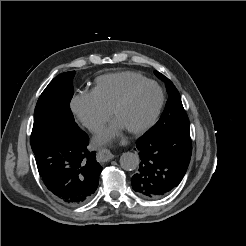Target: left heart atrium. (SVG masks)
<instances>
[{"mask_svg": "<svg viewBox=\"0 0 246 246\" xmlns=\"http://www.w3.org/2000/svg\"><path fill=\"white\" fill-rule=\"evenodd\" d=\"M123 126L118 122L115 121L111 126L101 131L97 136L98 142H105L113 138L115 135L119 133Z\"/></svg>", "mask_w": 246, "mask_h": 246, "instance_id": "39dd6f15", "label": "left heart atrium"}]
</instances>
